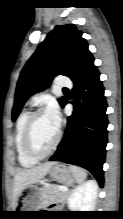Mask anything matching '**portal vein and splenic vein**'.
Listing matches in <instances>:
<instances>
[{"label": "portal vein and splenic vein", "instance_id": "1", "mask_svg": "<svg viewBox=\"0 0 123 219\" xmlns=\"http://www.w3.org/2000/svg\"><path fill=\"white\" fill-rule=\"evenodd\" d=\"M59 189L62 190V191H64V192L68 191V188L65 187V186H60Z\"/></svg>", "mask_w": 123, "mask_h": 219}]
</instances>
